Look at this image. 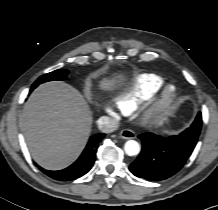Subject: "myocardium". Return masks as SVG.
Returning <instances> with one entry per match:
<instances>
[{"mask_svg":"<svg viewBox=\"0 0 218 210\" xmlns=\"http://www.w3.org/2000/svg\"><path fill=\"white\" fill-rule=\"evenodd\" d=\"M179 96L178 89L173 84L164 86L141 112V121L144 125L161 123L171 114Z\"/></svg>","mask_w":218,"mask_h":210,"instance_id":"1","label":"myocardium"}]
</instances>
